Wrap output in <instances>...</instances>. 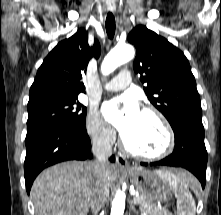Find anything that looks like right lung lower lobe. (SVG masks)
Masks as SVG:
<instances>
[{
  "instance_id": "right-lung-lower-lobe-1",
  "label": "right lung lower lobe",
  "mask_w": 221,
  "mask_h": 215,
  "mask_svg": "<svg viewBox=\"0 0 221 215\" xmlns=\"http://www.w3.org/2000/svg\"><path fill=\"white\" fill-rule=\"evenodd\" d=\"M24 173L29 194L36 176L45 168L67 160H85L92 157L91 141L85 125L75 127L65 124H50L27 132ZM112 156L110 161H114Z\"/></svg>"
}]
</instances>
